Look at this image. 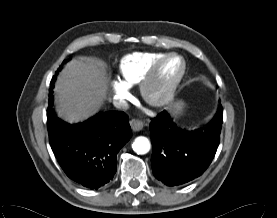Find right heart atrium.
Wrapping results in <instances>:
<instances>
[{
	"mask_svg": "<svg viewBox=\"0 0 277 218\" xmlns=\"http://www.w3.org/2000/svg\"><path fill=\"white\" fill-rule=\"evenodd\" d=\"M112 85H113V88H114L115 92L121 98H124L126 93H127L128 86L124 82H122V81H120L118 79L114 80L112 82Z\"/></svg>",
	"mask_w": 277,
	"mask_h": 218,
	"instance_id": "right-heart-atrium-1",
	"label": "right heart atrium"
}]
</instances>
